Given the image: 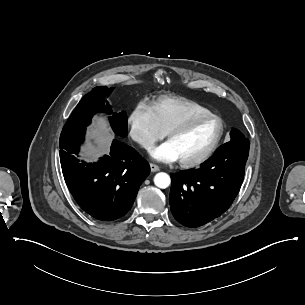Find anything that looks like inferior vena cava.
<instances>
[{
	"label": "inferior vena cava",
	"mask_w": 305,
	"mask_h": 305,
	"mask_svg": "<svg viewBox=\"0 0 305 305\" xmlns=\"http://www.w3.org/2000/svg\"><path fill=\"white\" fill-rule=\"evenodd\" d=\"M143 145H145V142L143 141V142H141Z\"/></svg>",
	"instance_id": "602c4592"
}]
</instances>
